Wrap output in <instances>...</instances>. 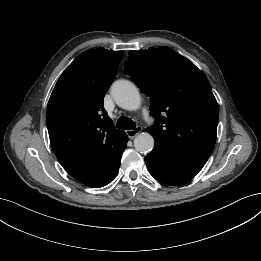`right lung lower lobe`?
<instances>
[{
  "instance_id": "98d812e1",
  "label": "right lung lower lobe",
  "mask_w": 261,
  "mask_h": 261,
  "mask_svg": "<svg viewBox=\"0 0 261 261\" xmlns=\"http://www.w3.org/2000/svg\"><path fill=\"white\" fill-rule=\"evenodd\" d=\"M121 156H122V154H121ZM121 156L119 157L115 166L110 170V172L104 178L99 180L98 182L90 185V187L99 188V187H103V186L107 185L108 183H110L116 177V175L118 173V170L120 167Z\"/></svg>"
}]
</instances>
